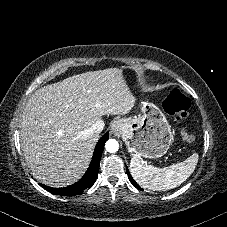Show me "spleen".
<instances>
[{"instance_id": "3e777b00", "label": "spleen", "mask_w": 227, "mask_h": 227, "mask_svg": "<svg viewBox=\"0 0 227 227\" xmlns=\"http://www.w3.org/2000/svg\"><path fill=\"white\" fill-rule=\"evenodd\" d=\"M198 153H193L182 162L169 167L157 168L144 164L138 156H133L130 171L135 181L143 188L166 191L182 184L195 170Z\"/></svg>"}]
</instances>
